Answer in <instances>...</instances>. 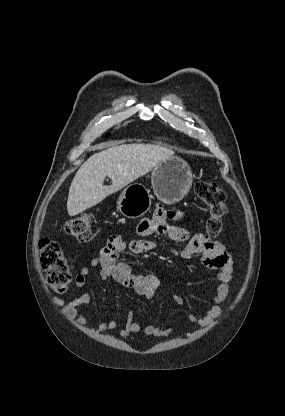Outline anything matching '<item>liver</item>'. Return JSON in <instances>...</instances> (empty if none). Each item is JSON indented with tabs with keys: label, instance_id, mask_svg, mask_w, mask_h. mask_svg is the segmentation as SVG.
Masks as SVG:
<instances>
[{
	"label": "liver",
	"instance_id": "liver-1",
	"mask_svg": "<svg viewBox=\"0 0 285 416\" xmlns=\"http://www.w3.org/2000/svg\"><path fill=\"white\" fill-rule=\"evenodd\" d=\"M93 150L103 152L88 158L74 176L67 200L69 216H77L96 206L110 194L119 192L137 178L151 172L162 160L174 156L173 150L150 144L117 146L115 142H104L93 146ZM106 176L112 180L111 186H103Z\"/></svg>",
	"mask_w": 285,
	"mask_h": 416
}]
</instances>
